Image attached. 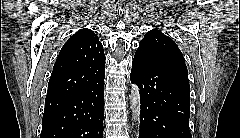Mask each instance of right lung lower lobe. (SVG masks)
<instances>
[{"label":"right lung lower lobe","instance_id":"1","mask_svg":"<svg viewBox=\"0 0 240 138\" xmlns=\"http://www.w3.org/2000/svg\"><path fill=\"white\" fill-rule=\"evenodd\" d=\"M104 77L88 88L46 99L40 138H102Z\"/></svg>","mask_w":240,"mask_h":138}]
</instances>
